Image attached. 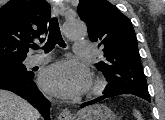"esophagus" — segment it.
<instances>
[{
    "label": "esophagus",
    "mask_w": 165,
    "mask_h": 120,
    "mask_svg": "<svg viewBox=\"0 0 165 120\" xmlns=\"http://www.w3.org/2000/svg\"><path fill=\"white\" fill-rule=\"evenodd\" d=\"M53 10L55 15L62 16L65 10V6L63 3H56L53 6ZM59 120H73V116L70 111H63L60 113Z\"/></svg>",
    "instance_id": "1"
}]
</instances>
